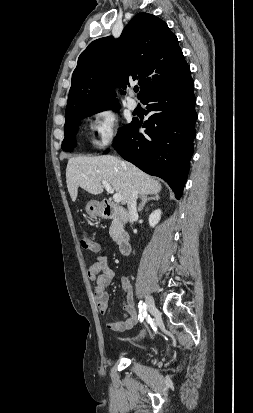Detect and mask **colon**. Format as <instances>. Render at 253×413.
<instances>
[{"mask_svg": "<svg viewBox=\"0 0 253 413\" xmlns=\"http://www.w3.org/2000/svg\"><path fill=\"white\" fill-rule=\"evenodd\" d=\"M81 246L89 251L97 252L99 250L98 244L88 235H84L81 239ZM145 330H142L134 339H140L144 336Z\"/></svg>", "mask_w": 253, "mask_h": 413, "instance_id": "5ec220e1", "label": "colon"}]
</instances>
